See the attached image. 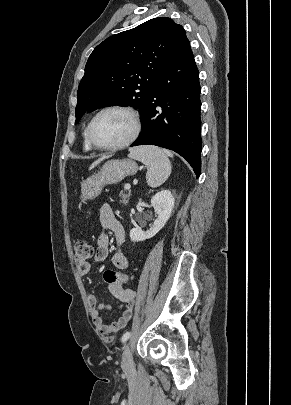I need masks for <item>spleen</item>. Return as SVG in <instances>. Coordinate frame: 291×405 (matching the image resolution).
<instances>
[{"label":"spleen","instance_id":"obj_1","mask_svg":"<svg viewBox=\"0 0 291 405\" xmlns=\"http://www.w3.org/2000/svg\"><path fill=\"white\" fill-rule=\"evenodd\" d=\"M172 153L156 146H140L130 150L129 157L147 166V184L156 188L162 185L171 174V163L168 157Z\"/></svg>","mask_w":291,"mask_h":405}]
</instances>
